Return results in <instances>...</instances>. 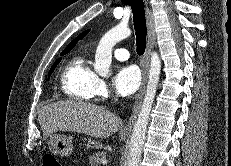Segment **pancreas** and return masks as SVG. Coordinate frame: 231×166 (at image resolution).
Masks as SVG:
<instances>
[{"label":"pancreas","instance_id":"pancreas-1","mask_svg":"<svg viewBox=\"0 0 231 166\" xmlns=\"http://www.w3.org/2000/svg\"><path fill=\"white\" fill-rule=\"evenodd\" d=\"M106 157H107V153L104 151L98 153H92L89 156V164L90 166L98 165L102 162V160L106 159Z\"/></svg>","mask_w":231,"mask_h":166}]
</instances>
